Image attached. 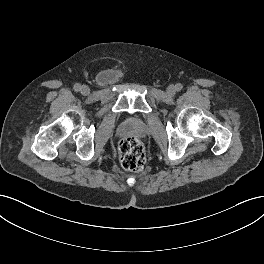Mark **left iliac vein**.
<instances>
[{"label": "left iliac vein", "instance_id": "1", "mask_svg": "<svg viewBox=\"0 0 264 264\" xmlns=\"http://www.w3.org/2000/svg\"><path fill=\"white\" fill-rule=\"evenodd\" d=\"M176 93V87L174 85H169L167 88V94L169 96H174Z\"/></svg>", "mask_w": 264, "mask_h": 264}]
</instances>
